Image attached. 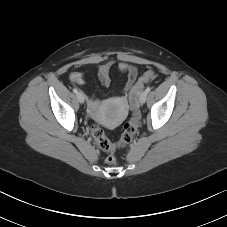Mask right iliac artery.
<instances>
[{
    "label": "right iliac artery",
    "mask_w": 227,
    "mask_h": 227,
    "mask_svg": "<svg viewBox=\"0 0 227 227\" xmlns=\"http://www.w3.org/2000/svg\"><path fill=\"white\" fill-rule=\"evenodd\" d=\"M73 92H74V93H78L77 88H74V89H73Z\"/></svg>",
    "instance_id": "82829eb1"
}]
</instances>
